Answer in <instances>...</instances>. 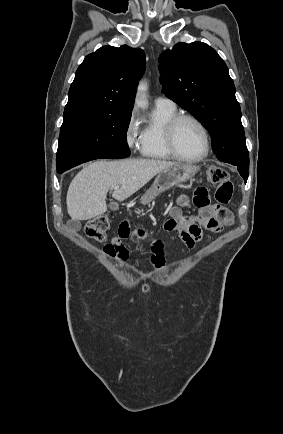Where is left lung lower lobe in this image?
Returning a JSON list of instances; mask_svg holds the SVG:
<instances>
[{"label": "left lung lower lobe", "instance_id": "0a47b994", "mask_svg": "<svg viewBox=\"0 0 283 434\" xmlns=\"http://www.w3.org/2000/svg\"><path fill=\"white\" fill-rule=\"evenodd\" d=\"M235 166H237L238 167V171H239V173L241 174V176L243 177V179L245 180V183H246V181H247V179H248V169H249V165H241V164H239V165H235Z\"/></svg>", "mask_w": 283, "mask_h": 434}]
</instances>
